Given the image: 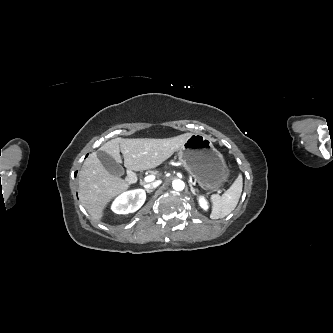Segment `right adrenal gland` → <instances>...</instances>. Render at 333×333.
Returning a JSON list of instances; mask_svg holds the SVG:
<instances>
[{
  "mask_svg": "<svg viewBox=\"0 0 333 333\" xmlns=\"http://www.w3.org/2000/svg\"><path fill=\"white\" fill-rule=\"evenodd\" d=\"M146 192H147V193H152L153 190H152V189H146Z\"/></svg>",
  "mask_w": 333,
  "mask_h": 333,
  "instance_id": "2a0ac1e0",
  "label": "right adrenal gland"
}]
</instances>
